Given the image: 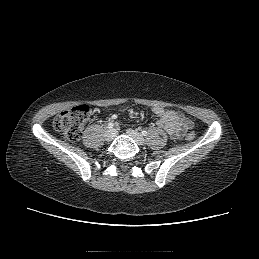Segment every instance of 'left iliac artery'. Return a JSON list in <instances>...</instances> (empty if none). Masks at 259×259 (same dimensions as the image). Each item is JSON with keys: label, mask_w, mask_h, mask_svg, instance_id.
I'll list each match as a JSON object with an SVG mask.
<instances>
[{"label": "left iliac artery", "mask_w": 259, "mask_h": 259, "mask_svg": "<svg viewBox=\"0 0 259 259\" xmlns=\"http://www.w3.org/2000/svg\"><path fill=\"white\" fill-rule=\"evenodd\" d=\"M147 134H148V133H147L146 130H143V131H142V135H143V136H146Z\"/></svg>", "instance_id": "left-iliac-artery-1"}]
</instances>
